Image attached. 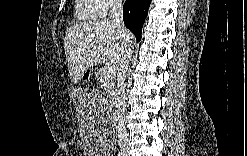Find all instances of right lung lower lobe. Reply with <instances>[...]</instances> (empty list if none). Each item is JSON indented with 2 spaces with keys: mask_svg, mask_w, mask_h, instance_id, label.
Wrapping results in <instances>:
<instances>
[{
  "mask_svg": "<svg viewBox=\"0 0 247 156\" xmlns=\"http://www.w3.org/2000/svg\"><path fill=\"white\" fill-rule=\"evenodd\" d=\"M151 0H126L123 5L125 26L132 31L138 41L141 40L142 26Z\"/></svg>",
  "mask_w": 247,
  "mask_h": 156,
  "instance_id": "obj_1",
  "label": "right lung lower lobe"
}]
</instances>
